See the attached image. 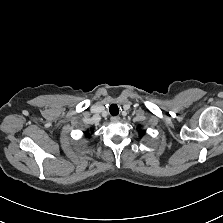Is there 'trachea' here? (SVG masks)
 Here are the masks:
<instances>
[{"label":"trachea","instance_id":"1","mask_svg":"<svg viewBox=\"0 0 223 223\" xmlns=\"http://www.w3.org/2000/svg\"><path fill=\"white\" fill-rule=\"evenodd\" d=\"M109 112L111 113L112 116H116L119 114V108L116 104H112L109 108Z\"/></svg>","mask_w":223,"mask_h":223}]
</instances>
